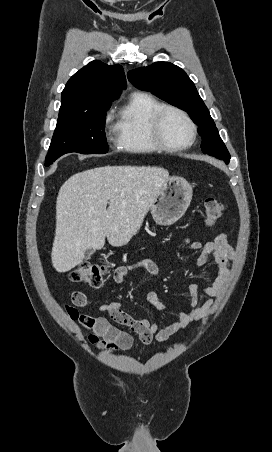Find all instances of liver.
Here are the masks:
<instances>
[{
	"label": "liver",
	"instance_id": "obj_1",
	"mask_svg": "<svg viewBox=\"0 0 272 452\" xmlns=\"http://www.w3.org/2000/svg\"><path fill=\"white\" fill-rule=\"evenodd\" d=\"M168 177L160 167L107 165L66 180L56 201L51 253L56 271L68 272L79 265L87 249L103 248L106 237L114 247L126 245Z\"/></svg>",
	"mask_w": 272,
	"mask_h": 452
}]
</instances>
